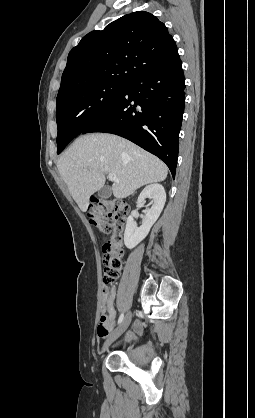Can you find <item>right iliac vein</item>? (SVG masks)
Masks as SVG:
<instances>
[{
  "mask_svg": "<svg viewBox=\"0 0 255 418\" xmlns=\"http://www.w3.org/2000/svg\"><path fill=\"white\" fill-rule=\"evenodd\" d=\"M131 322V313L129 312L126 317L123 319L121 324L118 326V328L108 337V339L105 341L102 353L105 352L108 347L115 341L129 326Z\"/></svg>",
  "mask_w": 255,
  "mask_h": 418,
  "instance_id": "obj_1",
  "label": "right iliac vein"
}]
</instances>
